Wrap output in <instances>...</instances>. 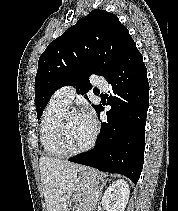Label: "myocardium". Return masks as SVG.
<instances>
[{
	"label": "myocardium",
	"instance_id": "obj_1",
	"mask_svg": "<svg viewBox=\"0 0 178 211\" xmlns=\"http://www.w3.org/2000/svg\"><path fill=\"white\" fill-rule=\"evenodd\" d=\"M76 114L81 115V112H79L76 109H68L64 113L62 120H61L59 132H58V136H57V145L64 156H74V155H78V154H81V153H84V152L90 150L94 146L96 139H97L98 128L95 124H93L92 137H91L90 141L84 147H82L78 150H69L66 147L65 138H66L68 121L71 116L76 115Z\"/></svg>",
	"mask_w": 178,
	"mask_h": 211
}]
</instances>
